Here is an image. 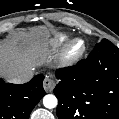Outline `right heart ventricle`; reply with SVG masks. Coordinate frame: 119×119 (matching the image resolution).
Instances as JSON below:
<instances>
[{"label": "right heart ventricle", "mask_w": 119, "mask_h": 119, "mask_svg": "<svg viewBox=\"0 0 119 119\" xmlns=\"http://www.w3.org/2000/svg\"><path fill=\"white\" fill-rule=\"evenodd\" d=\"M68 39V35L65 33H59L57 34L54 39L52 40V46L53 47H59L62 45L66 40Z\"/></svg>", "instance_id": "e07e8e85"}]
</instances>
